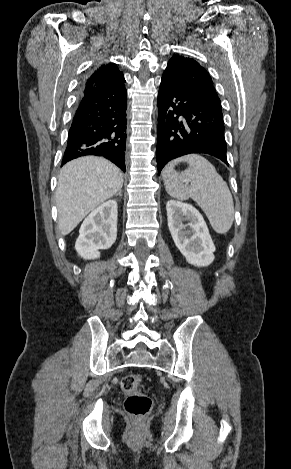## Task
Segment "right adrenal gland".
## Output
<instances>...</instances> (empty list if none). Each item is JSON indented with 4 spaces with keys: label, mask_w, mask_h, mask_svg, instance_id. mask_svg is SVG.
Instances as JSON below:
<instances>
[{
    "label": "right adrenal gland",
    "mask_w": 291,
    "mask_h": 469,
    "mask_svg": "<svg viewBox=\"0 0 291 469\" xmlns=\"http://www.w3.org/2000/svg\"><path fill=\"white\" fill-rule=\"evenodd\" d=\"M116 196L122 197V192H121V190L116 194Z\"/></svg>",
    "instance_id": "obj_1"
}]
</instances>
